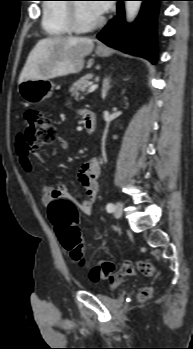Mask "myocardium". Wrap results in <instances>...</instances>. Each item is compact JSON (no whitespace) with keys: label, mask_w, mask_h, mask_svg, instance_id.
Instances as JSON below:
<instances>
[{"label":"myocardium","mask_w":193,"mask_h":349,"mask_svg":"<svg viewBox=\"0 0 193 349\" xmlns=\"http://www.w3.org/2000/svg\"><path fill=\"white\" fill-rule=\"evenodd\" d=\"M66 19L70 30L74 33H85L99 27L104 19L99 16L89 23H82L79 16V3L72 2L67 5Z\"/></svg>","instance_id":"1"}]
</instances>
